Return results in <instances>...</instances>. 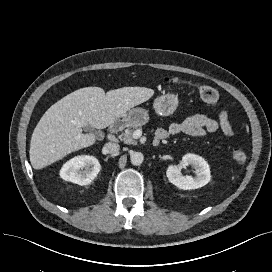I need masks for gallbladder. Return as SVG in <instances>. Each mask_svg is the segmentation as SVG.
<instances>
[{
	"instance_id": "1",
	"label": "gallbladder",
	"mask_w": 272,
	"mask_h": 272,
	"mask_svg": "<svg viewBox=\"0 0 272 272\" xmlns=\"http://www.w3.org/2000/svg\"><path fill=\"white\" fill-rule=\"evenodd\" d=\"M86 130L90 131V132H93V133H96L91 127H86Z\"/></svg>"
}]
</instances>
